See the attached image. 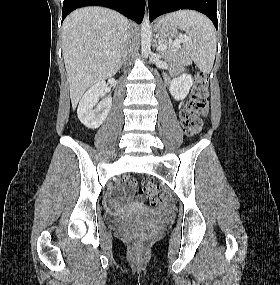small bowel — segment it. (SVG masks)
<instances>
[{
    "label": "small bowel",
    "mask_w": 280,
    "mask_h": 285,
    "mask_svg": "<svg viewBox=\"0 0 280 285\" xmlns=\"http://www.w3.org/2000/svg\"><path fill=\"white\" fill-rule=\"evenodd\" d=\"M182 74V71L181 70H177L176 72H175V76H180Z\"/></svg>",
    "instance_id": "small-bowel-1"
}]
</instances>
